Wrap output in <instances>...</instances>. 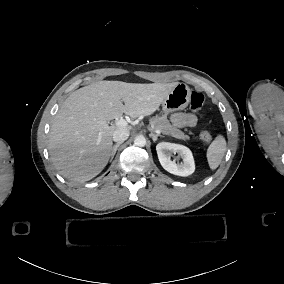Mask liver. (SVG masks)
I'll use <instances>...</instances> for the list:
<instances>
[{
    "instance_id": "1",
    "label": "liver",
    "mask_w": 284,
    "mask_h": 284,
    "mask_svg": "<svg viewBox=\"0 0 284 284\" xmlns=\"http://www.w3.org/2000/svg\"><path fill=\"white\" fill-rule=\"evenodd\" d=\"M178 84L99 81L74 91L61 104L49 134L48 149L56 170L73 181L96 177L109 162L113 133L133 130L132 125L114 127L107 122L123 114L151 116Z\"/></svg>"
}]
</instances>
